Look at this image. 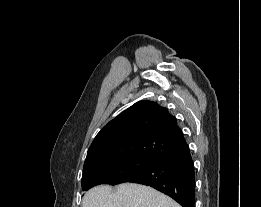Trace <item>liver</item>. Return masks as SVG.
<instances>
[{
    "label": "liver",
    "mask_w": 261,
    "mask_h": 207,
    "mask_svg": "<svg viewBox=\"0 0 261 207\" xmlns=\"http://www.w3.org/2000/svg\"><path fill=\"white\" fill-rule=\"evenodd\" d=\"M81 207H181L169 196L149 186L123 183L112 191L99 185L86 192Z\"/></svg>",
    "instance_id": "liver-1"
}]
</instances>
